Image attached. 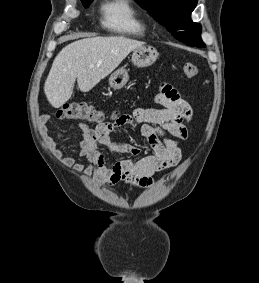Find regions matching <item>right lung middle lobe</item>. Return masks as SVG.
Segmentation results:
<instances>
[{
    "mask_svg": "<svg viewBox=\"0 0 259 283\" xmlns=\"http://www.w3.org/2000/svg\"><path fill=\"white\" fill-rule=\"evenodd\" d=\"M83 5L87 8L92 2L93 0H82Z\"/></svg>",
    "mask_w": 259,
    "mask_h": 283,
    "instance_id": "obj_1",
    "label": "right lung middle lobe"
}]
</instances>
